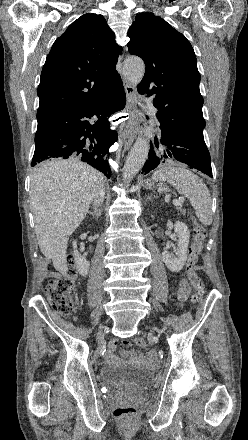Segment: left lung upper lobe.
Returning a JSON list of instances; mask_svg holds the SVG:
<instances>
[{
  "label": "left lung upper lobe",
  "mask_w": 248,
  "mask_h": 440,
  "mask_svg": "<svg viewBox=\"0 0 248 440\" xmlns=\"http://www.w3.org/2000/svg\"><path fill=\"white\" fill-rule=\"evenodd\" d=\"M130 54L141 57L145 75L137 86L140 94L153 96L158 117L203 136L200 74L190 42L153 13H140L128 30Z\"/></svg>",
  "instance_id": "1"
}]
</instances>
